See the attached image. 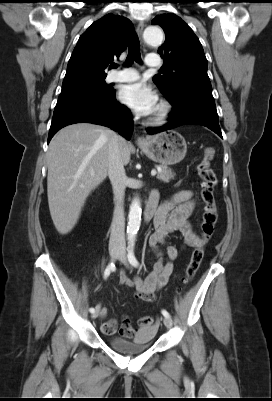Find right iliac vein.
<instances>
[{"mask_svg": "<svg viewBox=\"0 0 272 401\" xmlns=\"http://www.w3.org/2000/svg\"><path fill=\"white\" fill-rule=\"evenodd\" d=\"M110 253V257L112 260H114L115 258H117L118 254H119V247L118 246H112L109 250ZM99 314V309L96 308V311H94L91 315L92 318H96Z\"/></svg>", "mask_w": 272, "mask_h": 401, "instance_id": "63e3f726", "label": "right iliac vein"}]
</instances>
